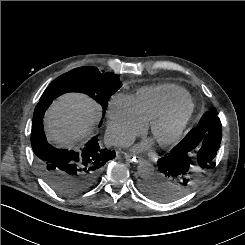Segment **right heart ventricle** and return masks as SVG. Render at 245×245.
Listing matches in <instances>:
<instances>
[{"label":"right heart ventricle","mask_w":245,"mask_h":245,"mask_svg":"<svg viewBox=\"0 0 245 245\" xmlns=\"http://www.w3.org/2000/svg\"><path fill=\"white\" fill-rule=\"evenodd\" d=\"M189 98L190 94L187 90L174 84L143 87L133 97L138 113L146 123L173 105Z\"/></svg>","instance_id":"1"}]
</instances>
